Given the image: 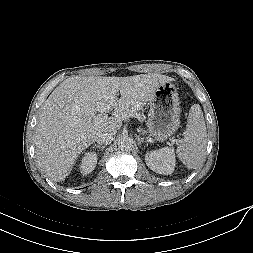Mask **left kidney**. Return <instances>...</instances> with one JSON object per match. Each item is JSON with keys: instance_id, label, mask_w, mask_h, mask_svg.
I'll return each instance as SVG.
<instances>
[{"instance_id": "left-kidney-1", "label": "left kidney", "mask_w": 253, "mask_h": 253, "mask_svg": "<svg viewBox=\"0 0 253 253\" xmlns=\"http://www.w3.org/2000/svg\"><path fill=\"white\" fill-rule=\"evenodd\" d=\"M147 166L156 173L170 175L175 168L174 150L168 147L148 152L145 155Z\"/></svg>"}]
</instances>
